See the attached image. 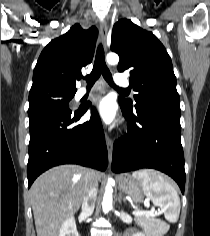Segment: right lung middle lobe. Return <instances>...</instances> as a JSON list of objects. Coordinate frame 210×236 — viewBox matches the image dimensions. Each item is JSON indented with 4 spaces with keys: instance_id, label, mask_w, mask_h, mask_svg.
Segmentation results:
<instances>
[{
    "instance_id": "1",
    "label": "right lung middle lobe",
    "mask_w": 210,
    "mask_h": 236,
    "mask_svg": "<svg viewBox=\"0 0 210 236\" xmlns=\"http://www.w3.org/2000/svg\"><path fill=\"white\" fill-rule=\"evenodd\" d=\"M75 93L48 90L43 91L29 101L28 115H33L49 109H69V102Z\"/></svg>"
}]
</instances>
